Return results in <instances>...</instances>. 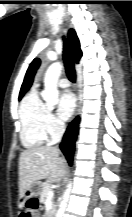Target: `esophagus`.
<instances>
[{
    "label": "esophagus",
    "instance_id": "obj_1",
    "mask_svg": "<svg viewBox=\"0 0 132 217\" xmlns=\"http://www.w3.org/2000/svg\"><path fill=\"white\" fill-rule=\"evenodd\" d=\"M80 82L79 80H77V106H76V111L74 114V118L79 114L80 112V108H81V102H82V98H81V93H80Z\"/></svg>",
    "mask_w": 132,
    "mask_h": 217
}]
</instances>
